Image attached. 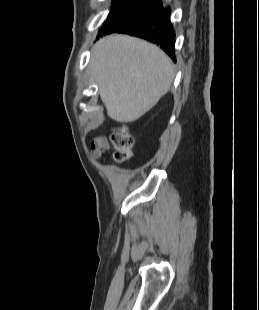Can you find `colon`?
Segmentation results:
<instances>
[{
    "instance_id": "obj_1",
    "label": "colon",
    "mask_w": 259,
    "mask_h": 310,
    "mask_svg": "<svg viewBox=\"0 0 259 310\" xmlns=\"http://www.w3.org/2000/svg\"><path fill=\"white\" fill-rule=\"evenodd\" d=\"M112 141L116 147L115 160L126 162L132 156L133 138L126 131H117L112 136Z\"/></svg>"
}]
</instances>
